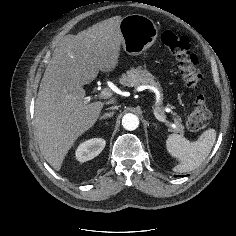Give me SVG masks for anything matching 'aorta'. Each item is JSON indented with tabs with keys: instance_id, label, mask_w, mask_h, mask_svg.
<instances>
[{
	"instance_id": "obj_1",
	"label": "aorta",
	"mask_w": 236,
	"mask_h": 236,
	"mask_svg": "<svg viewBox=\"0 0 236 236\" xmlns=\"http://www.w3.org/2000/svg\"><path fill=\"white\" fill-rule=\"evenodd\" d=\"M122 125L126 130H135L139 125V119L132 113H127L122 118Z\"/></svg>"
}]
</instances>
